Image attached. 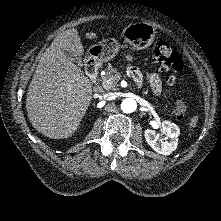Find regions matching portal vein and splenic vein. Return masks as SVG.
Returning <instances> with one entry per match:
<instances>
[{"instance_id": "portal-vein-and-splenic-vein-1", "label": "portal vein and splenic vein", "mask_w": 221, "mask_h": 221, "mask_svg": "<svg viewBox=\"0 0 221 221\" xmlns=\"http://www.w3.org/2000/svg\"><path fill=\"white\" fill-rule=\"evenodd\" d=\"M111 83H112V79L107 80V81H106V85H104V87L111 85Z\"/></svg>"}]
</instances>
